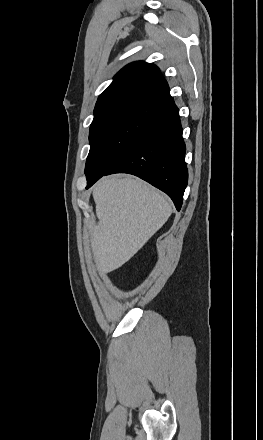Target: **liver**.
<instances>
[{
    "instance_id": "6515ba94",
    "label": "liver",
    "mask_w": 263,
    "mask_h": 440,
    "mask_svg": "<svg viewBox=\"0 0 263 440\" xmlns=\"http://www.w3.org/2000/svg\"><path fill=\"white\" fill-rule=\"evenodd\" d=\"M98 224L91 237L100 274L129 261L165 224L169 201L156 189L132 177H105L93 189Z\"/></svg>"
}]
</instances>
